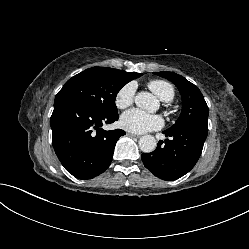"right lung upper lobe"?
<instances>
[{
    "instance_id": "right-lung-upper-lobe-1",
    "label": "right lung upper lobe",
    "mask_w": 249,
    "mask_h": 249,
    "mask_svg": "<svg viewBox=\"0 0 249 249\" xmlns=\"http://www.w3.org/2000/svg\"><path fill=\"white\" fill-rule=\"evenodd\" d=\"M124 72H125V74H126L131 80H133V79L138 78V77L141 76L140 73L126 72V71H124Z\"/></svg>"
}]
</instances>
